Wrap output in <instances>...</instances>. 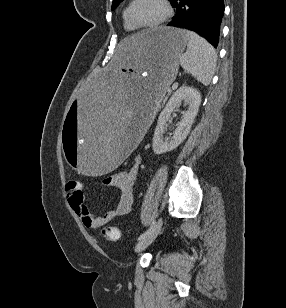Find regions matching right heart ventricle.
<instances>
[{
	"instance_id": "right-heart-ventricle-1",
	"label": "right heart ventricle",
	"mask_w": 286,
	"mask_h": 308,
	"mask_svg": "<svg viewBox=\"0 0 286 308\" xmlns=\"http://www.w3.org/2000/svg\"><path fill=\"white\" fill-rule=\"evenodd\" d=\"M126 10H127V7L123 10V13H122V21H123V27L125 28V30L129 31V32H132V31H135L136 29L133 28L129 22L127 21V18H126Z\"/></svg>"
}]
</instances>
